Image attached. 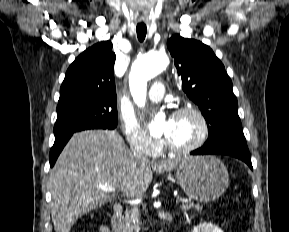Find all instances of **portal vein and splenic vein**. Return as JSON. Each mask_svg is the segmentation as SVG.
Returning a JSON list of instances; mask_svg holds the SVG:
<instances>
[{
  "mask_svg": "<svg viewBox=\"0 0 289 232\" xmlns=\"http://www.w3.org/2000/svg\"><path fill=\"white\" fill-rule=\"evenodd\" d=\"M98 188H100L102 191H106V192H115L116 188L108 185V184H98L97 185ZM178 201H180L181 203H191V199L188 198H178Z\"/></svg>",
  "mask_w": 289,
  "mask_h": 232,
  "instance_id": "portal-vein-and-splenic-vein-1",
  "label": "portal vein and splenic vein"
}]
</instances>
